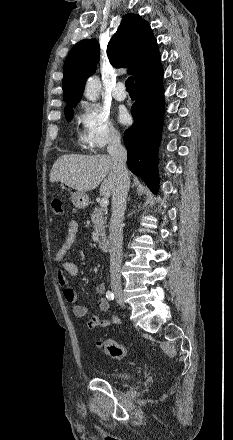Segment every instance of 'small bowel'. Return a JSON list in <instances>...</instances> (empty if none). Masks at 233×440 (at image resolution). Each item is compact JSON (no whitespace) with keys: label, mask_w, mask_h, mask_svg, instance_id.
I'll return each mask as SVG.
<instances>
[{"label":"small bowel","mask_w":233,"mask_h":440,"mask_svg":"<svg viewBox=\"0 0 233 440\" xmlns=\"http://www.w3.org/2000/svg\"><path fill=\"white\" fill-rule=\"evenodd\" d=\"M78 232V224L75 219H71L67 225L66 237L60 248L55 253V261L58 264L56 274L58 284L63 288V296L67 303L72 305V311L75 317L82 318L87 315L88 309L78 304V296L75 290L70 286L65 273L76 277L79 275L77 265L65 259L66 254L76 242ZM95 291L100 295L98 300L99 313L94 314L86 323L88 329H95L97 327L107 328L111 325L120 324V319L116 315H111L109 318H104L103 314L109 310L110 304L108 298L105 297L106 287L99 282L95 285Z\"/></svg>","instance_id":"obj_1"}]
</instances>
